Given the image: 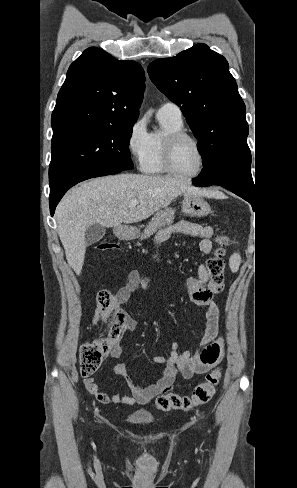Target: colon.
<instances>
[{
    "label": "colon",
    "mask_w": 297,
    "mask_h": 488,
    "mask_svg": "<svg viewBox=\"0 0 297 488\" xmlns=\"http://www.w3.org/2000/svg\"><path fill=\"white\" fill-rule=\"evenodd\" d=\"M217 248L207 262L210 280L222 284L224 273L225 247L228 239L221 236L217 239ZM96 248L100 251L120 250L119 245L111 242H100ZM113 294L108 290H101L97 294V314L107 320L111 325L107 335L93 343L84 344L79 351L80 373L83 377L92 376L101 366L105 356L112 351L115 341L122 333L123 316L117 312ZM221 380V370L215 368L206 378L199 382L190 394L168 392L157 398L156 407L161 411L189 410L195 406L205 404L215 394Z\"/></svg>",
    "instance_id": "1"
}]
</instances>
